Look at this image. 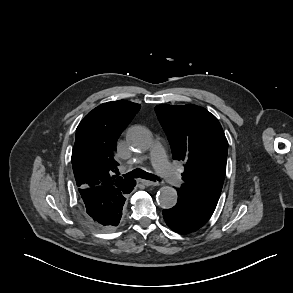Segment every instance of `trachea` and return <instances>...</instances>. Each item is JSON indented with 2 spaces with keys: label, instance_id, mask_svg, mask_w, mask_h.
I'll return each mask as SVG.
<instances>
[{
  "label": "trachea",
  "instance_id": "obj_1",
  "mask_svg": "<svg viewBox=\"0 0 293 293\" xmlns=\"http://www.w3.org/2000/svg\"><path fill=\"white\" fill-rule=\"evenodd\" d=\"M124 177L126 178H143V179H148V180H152L155 181L156 177L153 176L152 174L147 173L146 171L142 170V169H134L133 171L127 173L124 175Z\"/></svg>",
  "mask_w": 293,
  "mask_h": 293
}]
</instances>
